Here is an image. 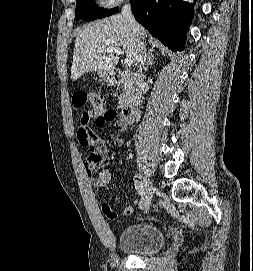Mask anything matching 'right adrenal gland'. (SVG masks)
Returning <instances> with one entry per match:
<instances>
[{
  "label": "right adrenal gland",
  "instance_id": "obj_1",
  "mask_svg": "<svg viewBox=\"0 0 253 271\" xmlns=\"http://www.w3.org/2000/svg\"><path fill=\"white\" fill-rule=\"evenodd\" d=\"M153 58H154V55L152 54V52H149L148 55H147V63H146V66H145V72H147L150 65L155 63L153 61Z\"/></svg>",
  "mask_w": 253,
  "mask_h": 271
}]
</instances>
